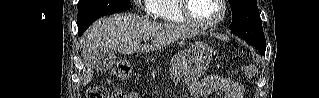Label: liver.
Masks as SVG:
<instances>
[{
    "label": "liver",
    "mask_w": 319,
    "mask_h": 98,
    "mask_svg": "<svg viewBox=\"0 0 319 98\" xmlns=\"http://www.w3.org/2000/svg\"><path fill=\"white\" fill-rule=\"evenodd\" d=\"M199 34V31L184 26L158 24L129 13L100 18L81 38L83 86L93 78L92 57L99 50H115L121 54L147 52ZM147 37L152 39L151 44H142V41L149 40Z\"/></svg>",
    "instance_id": "6515ba94"
}]
</instances>
